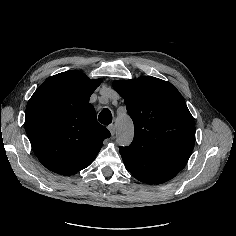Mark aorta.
Instances as JSON below:
<instances>
[{
    "mask_svg": "<svg viewBox=\"0 0 236 236\" xmlns=\"http://www.w3.org/2000/svg\"><path fill=\"white\" fill-rule=\"evenodd\" d=\"M117 142L120 145H129L133 139V123L127 115L116 119Z\"/></svg>",
    "mask_w": 236,
    "mask_h": 236,
    "instance_id": "1",
    "label": "aorta"
}]
</instances>
